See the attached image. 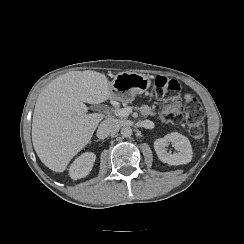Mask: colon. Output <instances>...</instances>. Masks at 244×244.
Wrapping results in <instances>:
<instances>
[{
	"label": "colon",
	"instance_id": "colon-1",
	"mask_svg": "<svg viewBox=\"0 0 244 244\" xmlns=\"http://www.w3.org/2000/svg\"><path fill=\"white\" fill-rule=\"evenodd\" d=\"M154 92L160 102V120H171L173 125L181 124L183 114L188 124L190 135L201 139L204 134V108L195 97H189L185 102L180 99V84L174 79L157 76L154 79Z\"/></svg>",
	"mask_w": 244,
	"mask_h": 244
}]
</instances>
